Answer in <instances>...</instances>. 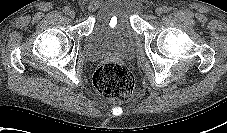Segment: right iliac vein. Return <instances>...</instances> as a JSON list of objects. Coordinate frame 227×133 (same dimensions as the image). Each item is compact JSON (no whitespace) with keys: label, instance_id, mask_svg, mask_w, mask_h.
<instances>
[{"label":"right iliac vein","instance_id":"1","mask_svg":"<svg viewBox=\"0 0 227 133\" xmlns=\"http://www.w3.org/2000/svg\"><path fill=\"white\" fill-rule=\"evenodd\" d=\"M69 16H70L71 18H74V17H75V12H74L73 10H70Z\"/></svg>","mask_w":227,"mask_h":133}]
</instances>
